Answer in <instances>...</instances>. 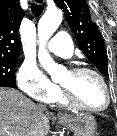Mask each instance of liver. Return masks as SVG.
<instances>
[{"label":"liver","instance_id":"liver-1","mask_svg":"<svg viewBox=\"0 0 117 136\" xmlns=\"http://www.w3.org/2000/svg\"><path fill=\"white\" fill-rule=\"evenodd\" d=\"M18 90L0 88V136H46L51 114Z\"/></svg>","mask_w":117,"mask_h":136}]
</instances>
